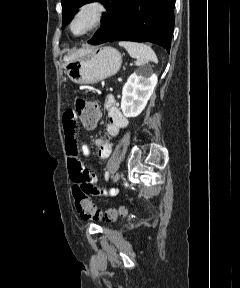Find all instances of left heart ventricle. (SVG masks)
<instances>
[{"label": "left heart ventricle", "mask_w": 240, "mask_h": 288, "mask_svg": "<svg viewBox=\"0 0 240 288\" xmlns=\"http://www.w3.org/2000/svg\"><path fill=\"white\" fill-rule=\"evenodd\" d=\"M93 18V11H85L75 20L73 24V31L77 34L83 33L91 26Z\"/></svg>", "instance_id": "left-heart-ventricle-1"}]
</instances>
